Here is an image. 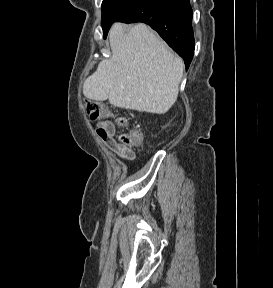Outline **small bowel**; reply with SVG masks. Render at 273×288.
<instances>
[{
    "instance_id": "small-bowel-1",
    "label": "small bowel",
    "mask_w": 273,
    "mask_h": 288,
    "mask_svg": "<svg viewBox=\"0 0 273 288\" xmlns=\"http://www.w3.org/2000/svg\"><path fill=\"white\" fill-rule=\"evenodd\" d=\"M104 134L101 136L107 147L126 160H132L135 156L133 150L118 144L114 139L115 129L112 124L106 122L101 127Z\"/></svg>"
}]
</instances>
